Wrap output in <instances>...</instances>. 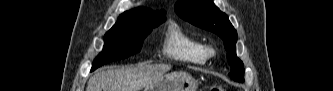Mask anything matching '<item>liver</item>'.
Returning a JSON list of instances; mask_svg holds the SVG:
<instances>
[{
    "instance_id": "liver-1",
    "label": "liver",
    "mask_w": 333,
    "mask_h": 91,
    "mask_svg": "<svg viewBox=\"0 0 333 91\" xmlns=\"http://www.w3.org/2000/svg\"><path fill=\"white\" fill-rule=\"evenodd\" d=\"M168 64H138L97 72L87 84L86 91H140L165 75Z\"/></svg>"
}]
</instances>
